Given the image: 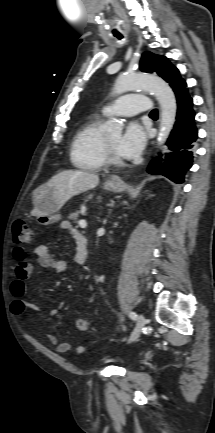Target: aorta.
Wrapping results in <instances>:
<instances>
[{"label":"aorta","instance_id":"1","mask_svg":"<svg viewBox=\"0 0 215 433\" xmlns=\"http://www.w3.org/2000/svg\"><path fill=\"white\" fill-rule=\"evenodd\" d=\"M145 89L154 93L161 108V123L157 137L158 146L167 140L176 119L177 104L171 87L160 77L148 74H127L117 78L113 93L116 95L136 90ZM110 134H120L123 124L117 119H110L106 126Z\"/></svg>","mask_w":215,"mask_h":433}]
</instances>
